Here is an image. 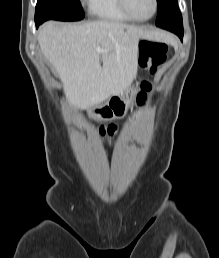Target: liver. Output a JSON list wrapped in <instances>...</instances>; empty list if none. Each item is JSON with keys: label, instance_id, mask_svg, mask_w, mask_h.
<instances>
[{"label": "liver", "instance_id": "6515ba94", "mask_svg": "<svg viewBox=\"0 0 219 258\" xmlns=\"http://www.w3.org/2000/svg\"><path fill=\"white\" fill-rule=\"evenodd\" d=\"M140 38L172 41L163 32L95 21L60 27L47 22L39 30L38 43L61 79L70 104L88 109L129 88L137 73Z\"/></svg>", "mask_w": 219, "mask_h": 258}]
</instances>
